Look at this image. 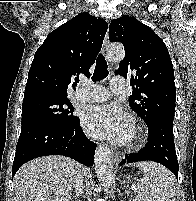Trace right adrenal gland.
I'll use <instances>...</instances> for the list:
<instances>
[{"instance_id": "obj_1", "label": "right adrenal gland", "mask_w": 196, "mask_h": 201, "mask_svg": "<svg viewBox=\"0 0 196 201\" xmlns=\"http://www.w3.org/2000/svg\"><path fill=\"white\" fill-rule=\"evenodd\" d=\"M75 199H77V196H73Z\"/></svg>"}]
</instances>
